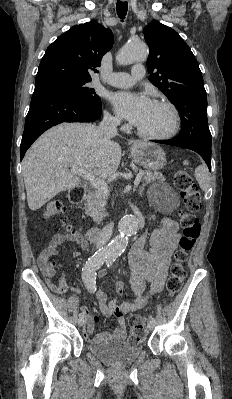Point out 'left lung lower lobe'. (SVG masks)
Listing matches in <instances>:
<instances>
[{
	"mask_svg": "<svg viewBox=\"0 0 232 399\" xmlns=\"http://www.w3.org/2000/svg\"><path fill=\"white\" fill-rule=\"evenodd\" d=\"M153 142L168 144L193 150L197 152L205 160L206 164L209 167V170H211V149H207L195 143L180 141L175 138L170 140H154Z\"/></svg>",
	"mask_w": 232,
	"mask_h": 399,
	"instance_id": "left-lung-lower-lobe-1",
	"label": "left lung lower lobe"
}]
</instances>
